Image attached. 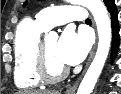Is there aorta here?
<instances>
[{
    "label": "aorta",
    "mask_w": 121,
    "mask_h": 94,
    "mask_svg": "<svg viewBox=\"0 0 121 94\" xmlns=\"http://www.w3.org/2000/svg\"><path fill=\"white\" fill-rule=\"evenodd\" d=\"M68 2L87 7L97 25L99 37L97 52L77 91V94H91L109 53L112 35L111 22L102 0H68ZM52 37H57V34L50 32L47 35V38Z\"/></svg>",
    "instance_id": "obj_1"
}]
</instances>
